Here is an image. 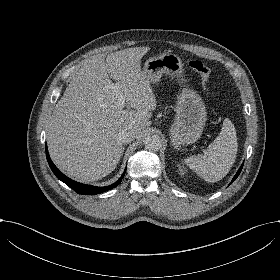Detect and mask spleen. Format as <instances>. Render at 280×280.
I'll use <instances>...</instances> for the list:
<instances>
[{"instance_id":"obj_1","label":"spleen","mask_w":280,"mask_h":280,"mask_svg":"<svg viewBox=\"0 0 280 280\" xmlns=\"http://www.w3.org/2000/svg\"><path fill=\"white\" fill-rule=\"evenodd\" d=\"M238 151V138L234 124L229 118L223 122L218 137L200 156H192L185 160L186 164L198 172L208 182L222 180L235 163Z\"/></svg>"}]
</instances>
